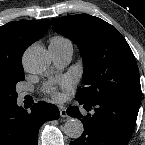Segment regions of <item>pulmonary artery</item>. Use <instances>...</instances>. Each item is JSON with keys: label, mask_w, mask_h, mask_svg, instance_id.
<instances>
[{"label": "pulmonary artery", "mask_w": 145, "mask_h": 145, "mask_svg": "<svg viewBox=\"0 0 145 145\" xmlns=\"http://www.w3.org/2000/svg\"><path fill=\"white\" fill-rule=\"evenodd\" d=\"M54 63L59 66H65L72 57V48H49ZM24 95V94H22Z\"/></svg>", "instance_id": "1"}]
</instances>
